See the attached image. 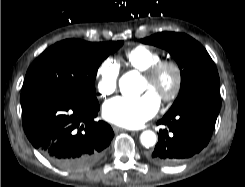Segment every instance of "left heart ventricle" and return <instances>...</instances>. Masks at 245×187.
Instances as JSON below:
<instances>
[{
	"instance_id": "b2bd125f",
	"label": "left heart ventricle",
	"mask_w": 245,
	"mask_h": 187,
	"mask_svg": "<svg viewBox=\"0 0 245 187\" xmlns=\"http://www.w3.org/2000/svg\"><path fill=\"white\" fill-rule=\"evenodd\" d=\"M173 85V75L171 72H164L160 78L155 82L151 83L146 77L144 79L143 91L153 90L158 96L167 93L171 90Z\"/></svg>"
}]
</instances>
